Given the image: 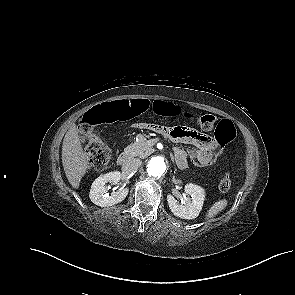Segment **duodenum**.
Returning a JSON list of instances; mask_svg holds the SVG:
<instances>
[{"label":"duodenum","mask_w":295,"mask_h":295,"mask_svg":"<svg viewBox=\"0 0 295 295\" xmlns=\"http://www.w3.org/2000/svg\"><path fill=\"white\" fill-rule=\"evenodd\" d=\"M130 160V155L128 152L124 151L121 152L117 157V164L118 165H124Z\"/></svg>","instance_id":"obj_1"}]
</instances>
